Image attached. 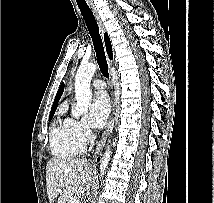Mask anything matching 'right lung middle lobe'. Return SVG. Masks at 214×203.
<instances>
[{
  "label": "right lung middle lobe",
  "mask_w": 214,
  "mask_h": 203,
  "mask_svg": "<svg viewBox=\"0 0 214 203\" xmlns=\"http://www.w3.org/2000/svg\"><path fill=\"white\" fill-rule=\"evenodd\" d=\"M52 117H53V115H50V116H49V121L52 119Z\"/></svg>",
  "instance_id": "1"
}]
</instances>
